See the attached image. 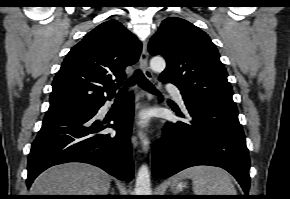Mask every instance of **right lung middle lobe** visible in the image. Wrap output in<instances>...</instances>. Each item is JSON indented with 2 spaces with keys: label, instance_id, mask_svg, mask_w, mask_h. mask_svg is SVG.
Wrapping results in <instances>:
<instances>
[{
  "label": "right lung middle lobe",
  "instance_id": "dd1d6c3e",
  "mask_svg": "<svg viewBox=\"0 0 290 199\" xmlns=\"http://www.w3.org/2000/svg\"><path fill=\"white\" fill-rule=\"evenodd\" d=\"M96 108H97V107H90V108L81 109V110L74 111V112L67 113V114H63V115H58V116H53V117H45L44 119H47V118H54V117H64V116H71V115L83 114V113H87V112L94 111V110H96Z\"/></svg>",
  "mask_w": 290,
  "mask_h": 199
}]
</instances>
